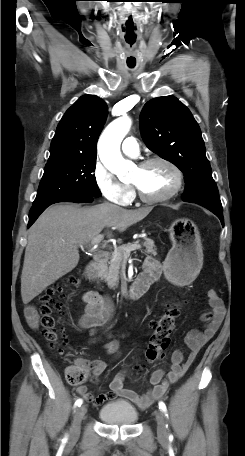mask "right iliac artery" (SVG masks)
Wrapping results in <instances>:
<instances>
[{
  "label": "right iliac artery",
  "mask_w": 245,
  "mask_h": 456,
  "mask_svg": "<svg viewBox=\"0 0 245 456\" xmlns=\"http://www.w3.org/2000/svg\"><path fill=\"white\" fill-rule=\"evenodd\" d=\"M82 403H83L82 399H78V400H76L74 406L75 407H77V406L80 407L82 405Z\"/></svg>",
  "instance_id": "1"
}]
</instances>
